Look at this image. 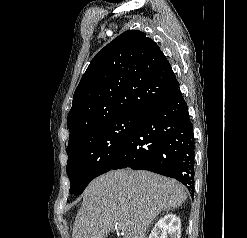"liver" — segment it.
I'll use <instances>...</instances> for the list:
<instances>
[{
	"label": "liver",
	"instance_id": "1",
	"mask_svg": "<svg viewBox=\"0 0 247 238\" xmlns=\"http://www.w3.org/2000/svg\"><path fill=\"white\" fill-rule=\"evenodd\" d=\"M184 187L149 171L112 170L95 178L83 193L72 238H106L115 228L122 238H146L161 211L181 206Z\"/></svg>",
	"mask_w": 247,
	"mask_h": 238
}]
</instances>
